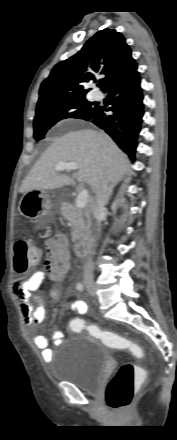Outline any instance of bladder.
<instances>
[{"instance_id": "bladder-1", "label": "bladder", "mask_w": 177, "mask_h": 440, "mask_svg": "<svg viewBox=\"0 0 177 440\" xmlns=\"http://www.w3.org/2000/svg\"><path fill=\"white\" fill-rule=\"evenodd\" d=\"M79 344L62 345L58 358L53 360L52 377L69 382L87 393H96L108 360L107 350L94 338H77Z\"/></svg>"}]
</instances>
